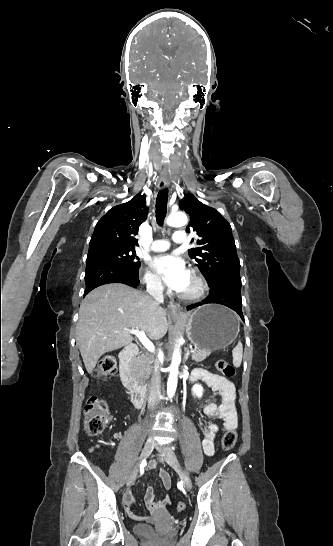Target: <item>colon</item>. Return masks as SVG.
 <instances>
[{"label": "colon", "instance_id": "colon-1", "mask_svg": "<svg viewBox=\"0 0 333 546\" xmlns=\"http://www.w3.org/2000/svg\"><path fill=\"white\" fill-rule=\"evenodd\" d=\"M216 370L227 377L235 375V368L223 359H219L215 363ZM117 363L114 356H103L94 371L97 377H106L116 373ZM84 428L87 434L95 435L102 432L109 421V413L106 403L98 398H90L84 410ZM237 442V433L234 429L227 430L222 437L221 445L224 450L232 449ZM185 509V503L179 501L176 503V510L181 512Z\"/></svg>", "mask_w": 333, "mask_h": 546}]
</instances>
